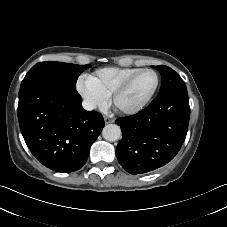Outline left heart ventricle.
I'll return each instance as SVG.
<instances>
[{"instance_id":"1","label":"left heart ventricle","mask_w":227,"mask_h":227,"mask_svg":"<svg viewBox=\"0 0 227 227\" xmlns=\"http://www.w3.org/2000/svg\"><path fill=\"white\" fill-rule=\"evenodd\" d=\"M156 82L151 72L140 74L117 100L118 107L130 109L141 104L152 91Z\"/></svg>"}]
</instances>
